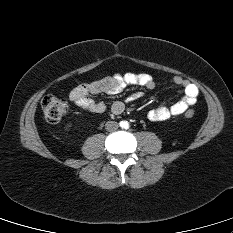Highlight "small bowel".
Listing matches in <instances>:
<instances>
[{
    "instance_id": "c3829d8e",
    "label": "small bowel",
    "mask_w": 233,
    "mask_h": 233,
    "mask_svg": "<svg viewBox=\"0 0 233 233\" xmlns=\"http://www.w3.org/2000/svg\"><path fill=\"white\" fill-rule=\"evenodd\" d=\"M173 83L181 87L182 99L169 107L162 104L151 109L147 113L149 120L155 122L164 121L173 116L181 115L196 103L199 89L194 83L181 76H174ZM126 85H139L147 89H153L155 81L151 75L146 73L114 74L101 80L78 85L69 93V99L86 112L102 113L106 109L105 104L94 101L91 95L100 93L114 95L121 92ZM140 96V92H135L129 97V101H133ZM124 109L125 104L121 101L114 102L111 107L112 113L116 115L121 114Z\"/></svg>"
}]
</instances>
